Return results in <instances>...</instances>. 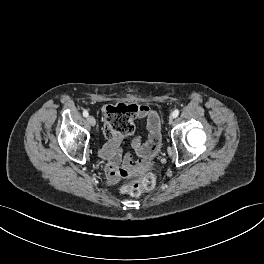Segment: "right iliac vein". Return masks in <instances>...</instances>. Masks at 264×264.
Returning a JSON list of instances; mask_svg holds the SVG:
<instances>
[{"instance_id":"1","label":"right iliac vein","mask_w":264,"mask_h":264,"mask_svg":"<svg viewBox=\"0 0 264 264\" xmlns=\"http://www.w3.org/2000/svg\"><path fill=\"white\" fill-rule=\"evenodd\" d=\"M87 121H88V123H89L91 126H95V124H96V120H95V118H94L93 116H88V117H87Z\"/></svg>"}]
</instances>
